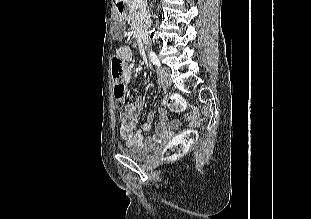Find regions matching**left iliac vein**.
Segmentation results:
<instances>
[{"label":"left iliac vein","instance_id":"1","mask_svg":"<svg viewBox=\"0 0 311 219\" xmlns=\"http://www.w3.org/2000/svg\"><path fill=\"white\" fill-rule=\"evenodd\" d=\"M156 71L160 82L167 87L170 86L171 85L170 70L165 67L158 66L156 68Z\"/></svg>","mask_w":311,"mask_h":219}]
</instances>
